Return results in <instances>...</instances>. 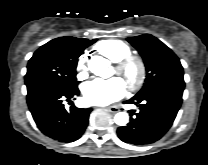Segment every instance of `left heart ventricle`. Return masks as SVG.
I'll return each instance as SVG.
<instances>
[{
    "instance_id": "1",
    "label": "left heart ventricle",
    "mask_w": 208,
    "mask_h": 165,
    "mask_svg": "<svg viewBox=\"0 0 208 165\" xmlns=\"http://www.w3.org/2000/svg\"><path fill=\"white\" fill-rule=\"evenodd\" d=\"M114 73L116 74L115 69H114ZM136 75H137V67L136 65H131L123 75H120V77L126 83L127 81L134 79Z\"/></svg>"
}]
</instances>
